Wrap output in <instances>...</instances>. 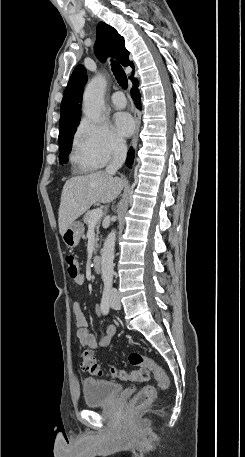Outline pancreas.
I'll return each instance as SVG.
<instances>
[{"instance_id":"obj_1","label":"pancreas","mask_w":245,"mask_h":457,"mask_svg":"<svg viewBox=\"0 0 245 457\" xmlns=\"http://www.w3.org/2000/svg\"><path fill=\"white\" fill-rule=\"evenodd\" d=\"M92 212H93V210H87V212H85L83 220H84V222H86V224H91L90 218H91ZM94 224H95V231H96L95 241L97 243V241H100V239H98V235H99L98 229H99L100 220H96V222H94ZM94 247H95L94 251H96V249H98V245H94Z\"/></svg>"}]
</instances>
